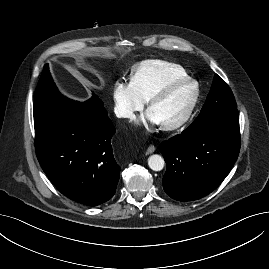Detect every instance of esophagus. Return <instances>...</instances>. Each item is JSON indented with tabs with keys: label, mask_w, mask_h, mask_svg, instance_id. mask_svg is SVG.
I'll use <instances>...</instances> for the list:
<instances>
[{
	"label": "esophagus",
	"mask_w": 269,
	"mask_h": 269,
	"mask_svg": "<svg viewBox=\"0 0 269 269\" xmlns=\"http://www.w3.org/2000/svg\"><path fill=\"white\" fill-rule=\"evenodd\" d=\"M155 151V147L153 145H150L148 149L146 150V154H151Z\"/></svg>",
	"instance_id": "obj_1"
}]
</instances>
